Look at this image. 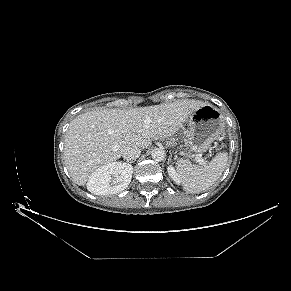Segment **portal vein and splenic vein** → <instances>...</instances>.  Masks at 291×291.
<instances>
[{"mask_svg":"<svg viewBox=\"0 0 291 291\" xmlns=\"http://www.w3.org/2000/svg\"><path fill=\"white\" fill-rule=\"evenodd\" d=\"M194 160L201 165L205 164L204 160L199 156L195 157Z\"/></svg>","mask_w":291,"mask_h":291,"instance_id":"portal-vein-and-splenic-vein-1","label":"portal vein and splenic vein"}]
</instances>
